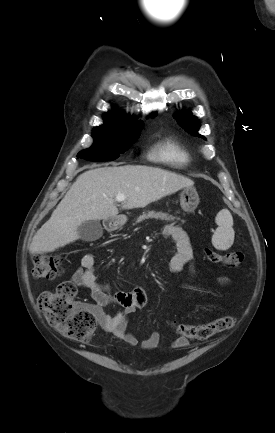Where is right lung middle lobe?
<instances>
[{"label": "right lung middle lobe", "instance_id": "1", "mask_svg": "<svg viewBox=\"0 0 275 433\" xmlns=\"http://www.w3.org/2000/svg\"><path fill=\"white\" fill-rule=\"evenodd\" d=\"M141 128V123L96 127L93 130L95 143L91 148L79 152L77 157L89 161L115 160L139 137Z\"/></svg>", "mask_w": 275, "mask_h": 433}]
</instances>
